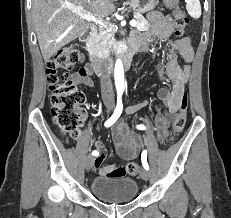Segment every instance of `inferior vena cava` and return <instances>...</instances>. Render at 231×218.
Segmentation results:
<instances>
[{"mask_svg": "<svg viewBox=\"0 0 231 218\" xmlns=\"http://www.w3.org/2000/svg\"><path fill=\"white\" fill-rule=\"evenodd\" d=\"M102 70H103V73L100 79L102 95L105 100L112 101L114 99V92H113V87H112V83L110 80V75L106 71V65L103 66Z\"/></svg>", "mask_w": 231, "mask_h": 218, "instance_id": "obj_1", "label": "inferior vena cava"}]
</instances>
